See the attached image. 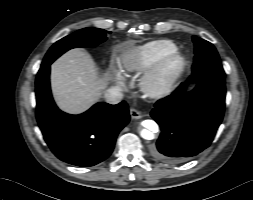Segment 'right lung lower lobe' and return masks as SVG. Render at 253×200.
Returning a JSON list of instances; mask_svg holds the SVG:
<instances>
[{"mask_svg": "<svg viewBox=\"0 0 253 200\" xmlns=\"http://www.w3.org/2000/svg\"><path fill=\"white\" fill-rule=\"evenodd\" d=\"M50 65L42 64L36 77V118L43 137L60 160L94 166L112 153L118 133L130 120L128 105L100 102L80 115L60 111L51 95Z\"/></svg>", "mask_w": 253, "mask_h": 200, "instance_id": "98d812e1", "label": "right lung lower lobe"}]
</instances>
